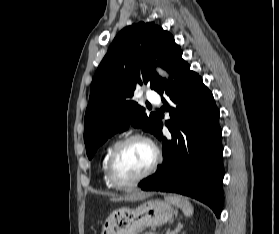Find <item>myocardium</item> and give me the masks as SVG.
<instances>
[{
	"label": "myocardium",
	"instance_id": "1",
	"mask_svg": "<svg viewBox=\"0 0 279 234\" xmlns=\"http://www.w3.org/2000/svg\"><path fill=\"white\" fill-rule=\"evenodd\" d=\"M132 141H142L150 145L154 152V158L151 165L148 167V169L137 178L130 181H119L116 178L114 173L115 161L121 149ZM160 162H161V153L158 147L149 138L140 134H132L119 141L113 147L107 161V168H106L107 178L115 188H119V189L129 188L138 185L140 182H142L143 180L151 176L154 173V171L157 169Z\"/></svg>",
	"mask_w": 279,
	"mask_h": 234
}]
</instances>
